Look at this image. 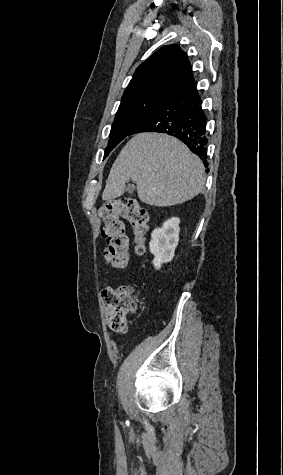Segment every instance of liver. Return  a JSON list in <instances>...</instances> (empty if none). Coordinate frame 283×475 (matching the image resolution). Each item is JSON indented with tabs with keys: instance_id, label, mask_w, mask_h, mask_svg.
I'll list each match as a JSON object with an SVG mask.
<instances>
[{
	"instance_id": "liver-1",
	"label": "liver",
	"mask_w": 283,
	"mask_h": 475,
	"mask_svg": "<svg viewBox=\"0 0 283 475\" xmlns=\"http://www.w3.org/2000/svg\"><path fill=\"white\" fill-rule=\"evenodd\" d=\"M204 166L177 138L137 134L122 148L106 180L102 200L123 196L126 182L137 184L139 200L149 206H173L202 192Z\"/></svg>"
}]
</instances>
